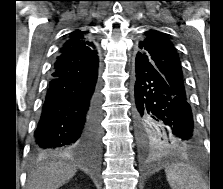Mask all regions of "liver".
<instances>
[{"instance_id": "1", "label": "liver", "mask_w": 223, "mask_h": 189, "mask_svg": "<svg viewBox=\"0 0 223 189\" xmlns=\"http://www.w3.org/2000/svg\"><path fill=\"white\" fill-rule=\"evenodd\" d=\"M77 169L66 162H51L28 175L26 189H58L69 181Z\"/></svg>"}]
</instances>
